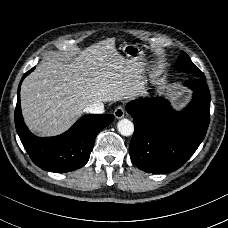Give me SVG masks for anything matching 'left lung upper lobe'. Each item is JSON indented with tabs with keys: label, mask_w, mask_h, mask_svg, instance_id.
<instances>
[{
	"label": "left lung upper lobe",
	"mask_w": 228,
	"mask_h": 228,
	"mask_svg": "<svg viewBox=\"0 0 228 228\" xmlns=\"http://www.w3.org/2000/svg\"><path fill=\"white\" fill-rule=\"evenodd\" d=\"M175 69L179 72L192 74L195 78L204 79V74L193 64L189 56L182 52L175 64Z\"/></svg>",
	"instance_id": "1"
}]
</instances>
